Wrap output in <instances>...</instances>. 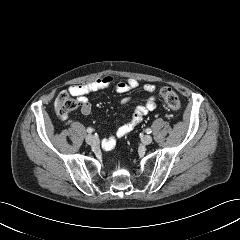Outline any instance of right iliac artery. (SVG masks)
Instances as JSON below:
<instances>
[{"label": "right iliac artery", "instance_id": "82829eb1", "mask_svg": "<svg viewBox=\"0 0 240 240\" xmlns=\"http://www.w3.org/2000/svg\"><path fill=\"white\" fill-rule=\"evenodd\" d=\"M87 132L88 133H92L93 132V129L91 127L87 128Z\"/></svg>", "mask_w": 240, "mask_h": 240}]
</instances>
